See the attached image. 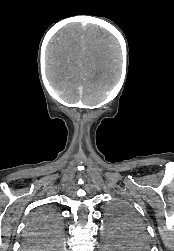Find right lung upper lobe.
<instances>
[{
    "instance_id": "1",
    "label": "right lung upper lobe",
    "mask_w": 174,
    "mask_h": 251,
    "mask_svg": "<svg viewBox=\"0 0 174 251\" xmlns=\"http://www.w3.org/2000/svg\"><path fill=\"white\" fill-rule=\"evenodd\" d=\"M36 242H37L36 237H33V236H27L26 237V245H28V246H26L27 248H29V245H33Z\"/></svg>"
}]
</instances>
